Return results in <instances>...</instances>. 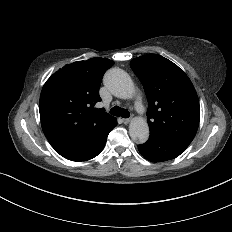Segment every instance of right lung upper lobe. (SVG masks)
Masks as SVG:
<instances>
[{
    "instance_id": "1",
    "label": "right lung upper lobe",
    "mask_w": 232,
    "mask_h": 232,
    "mask_svg": "<svg viewBox=\"0 0 232 232\" xmlns=\"http://www.w3.org/2000/svg\"><path fill=\"white\" fill-rule=\"evenodd\" d=\"M114 62L91 58L67 64L42 88L40 119L47 139H71L108 125L114 117L94 105L101 101L102 77Z\"/></svg>"
}]
</instances>
